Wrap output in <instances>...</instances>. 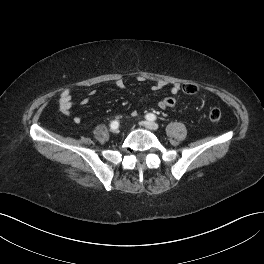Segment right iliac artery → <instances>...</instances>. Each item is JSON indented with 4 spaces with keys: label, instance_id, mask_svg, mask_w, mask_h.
<instances>
[{
    "label": "right iliac artery",
    "instance_id": "82829eb1",
    "mask_svg": "<svg viewBox=\"0 0 264 264\" xmlns=\"http://www.w3.org/2000/svg\"><path fill=\"white\" fill-rule=\"evenodd\" d=\"M118 126H119V122L117 120L112 121L110 124V127L112 129L118 128Z\"/></svg>",
    "mask_w": 264,
    "mask_h": 264
}]
</instances>
